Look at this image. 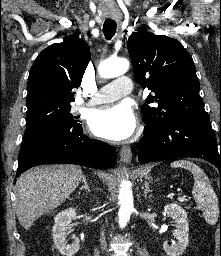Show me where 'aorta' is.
Wrapping results in <instances>:
<instances>
[{"label": "aorta", "mask_w": 221, "mask_h": 256, "mask_svg": "<svg viewBox=\"0 0 221 256\" xmlns=\"http://www.w3.org/2000/svg\"><path fill=\"white\" fill-rule=\"evenodd\" d=\"M129 68V61L124 58L107 59L100 63L98 71L103 78H114L123 75ZM119 225L121 228L125 227L130 220L133 211V194L130 183L122 180L119 189Z\"/></svg>", "instance_id": "762f6f07"}]
</instances>
